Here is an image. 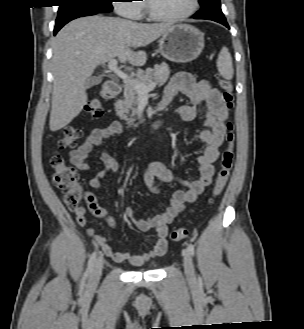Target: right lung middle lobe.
<instances>
[{
  "instance_id": "right-lung-middle-lobe-1",
  "label": "right lung middle lobe",
  "mask_w": 304,
  "mask_h": 329,
  "mask_svg": "<svg viewBox=\"0 0 304 329\" xmlns=\"http://www.w3.org/2000/svg\"><path fill=\"white\" fill-rule=\"evenodd\" d=\"M59 9L56 24L84 13L110 12L112 0H58Z\"/></svg>"
}]
</instances>
